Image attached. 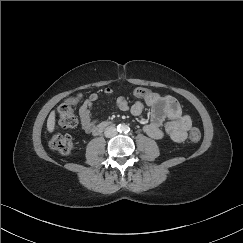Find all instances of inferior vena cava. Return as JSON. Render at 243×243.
<instances>
[{
    "instance_id": "inferior-vena-cava-1",
    "label": "inferior vena cava",
    "mask_w": 243,
    "mask_h": 243,
    "mask_svg": "<svg viewBox=\"0 0 243 243\" xmlns=\"http://www.w3.org/2000/svg\"><path fill=\"white\" fill-rule=\"evenodd\" d=\"M116 134H117V129L114 126H109L104 131V135L107 138L114 137Z\"/></svg>"
}]
</instances>
